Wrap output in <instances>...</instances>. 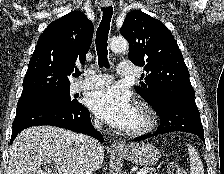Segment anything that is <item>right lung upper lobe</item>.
I'll return each instance as SVG.
<instances>
[{"label":"right lung upper lobe","instance_id":"obj_1","mask_svg":"<svg viewBox=\"0 0 224 174\" xmlns=\"http://www.w3.org/2000/svg\"><path fill=\"white\" fill-rule=\"evenodd\" d=\"M93 36V24L80 11L53 21L40 36L23 80L22 94L47 85L70 86L76 63H84Z\"/></svg>","mask_w":224,"mask_h":174}]
</instances>
